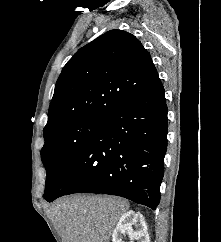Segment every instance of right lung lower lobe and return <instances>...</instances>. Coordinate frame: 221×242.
<instances>
[{
  "mask_svg": "<svg viewBox=\"0 0 221 242\" xmlns=\"http://www.w3.org/2000/svg\"><path fill=\"white\" fill-rule=\"evenodd\" d=\"M167 105L159 77L103 118L64 169L48 202L72 193L125 197L155 210L167 148Z\"/></svg>",
  "mask_w": 221,
  "mask_h": 242,
  "instance_id": "obj_1",
  "label": "right lung lower lobe"
}]
</instances>
